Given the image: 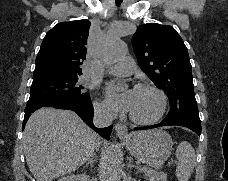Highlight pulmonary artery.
Listing matches in <instances>:
<instances>
[{
  "label": "pulmonary artery",
  "instance_id": "e3ab8cb5",
  "mask_svg": "<svg viewBox=\"0 0 228 181\" xmlns=\"http://www.w3.org/2000/svg\"><path fill=\"white\" fill-rule=\"evenodd\" d=\"M121 62L123 65H113V70H126L127 75H132L133 71H137L136 62H132V57L121 58Z\"/></svg>",
  "mask_w": 228,
  "mask_h": 181
}]
</instances>
